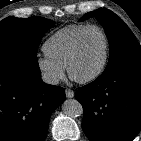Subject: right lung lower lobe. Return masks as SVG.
<instances>
[{
  "mask_svg": "<svg viewBox=\"0 0 141 141\" xmlns=\"http://www.w3.org/2000/svg\"><path fill=\"white\" fill-rule=\"evenodd\" d=\"M64 100L62 87L42 82L37 61H0V141H44Z\"/></svg>",
  "mask_w": 141,
  "mask_h": 141,
  "instance_id": "right-lung-lower-lobe-1",
  "label": "right lung lower lobe"
}]
</instances>
